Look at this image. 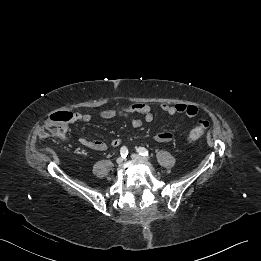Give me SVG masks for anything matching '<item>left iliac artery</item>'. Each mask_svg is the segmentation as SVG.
Returning a JSON list of instances; mask_svg holds the SVG:
<instances>
[{"mask_svg":"<svg viewBox=\"0 0 261 261\" xmlns=\"http://www.w3.org/2000/svg\"><path fill=\"white\" fill-rule=\"evenodd\" d=\"M137 152L142 155V156H148L149 153H148V150L145 149L144 147H139L137 148Z\"/></svg>","mask_w":261,"mask_h":261,"instance_id":"obj_1","label":"left iliac artery"}]
</instances>
